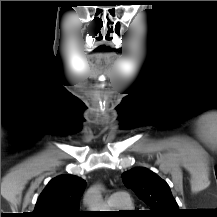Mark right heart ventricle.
Returning a JSON list of instances; mask_svg holds the SVG:
<instances>
[{"instance_id": "obj_1", "label": "right heart ventricle", "mask_w": 217, "mask_h": 217, "mask_svg": "<svg viewBox=\"0 0 217 217\" xmlns=\"http://www.w3.org/2000/svg\"><path fill=\"white\" fill-rule=\"evenodd\" d=\"M114 208H116V207H114ZM121 209H131V208H133V203H132V201L130 200V202H129V204H126V205H123V206H121L120 207Z\"/></svg>"}]
</instances>
